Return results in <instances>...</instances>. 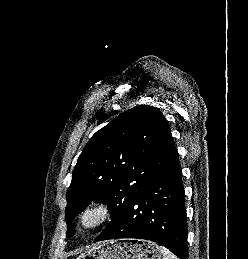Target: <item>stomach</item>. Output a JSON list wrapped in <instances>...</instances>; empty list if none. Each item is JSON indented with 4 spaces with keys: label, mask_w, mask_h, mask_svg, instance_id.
Masks as SVG:
<instances>
[{
    "label": "stomach",
    "mask_w": 248,
    "mask_h": 259,
    "mask_svg": "<svg viewBox=\"0 0 248 259\" xmlns=\"http://www.w3.org/2000/svg\"><path fill=\"white\" fill-rule=\"evenodd\" d=\"M77 259H162L158 244L140 239H122L97 245Z\"/></svg>",
    "instance_id": "1"
}]
</instances>
